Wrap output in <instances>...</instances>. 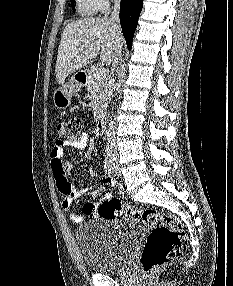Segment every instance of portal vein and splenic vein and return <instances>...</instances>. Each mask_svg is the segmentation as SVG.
Wrapping results in <instances>:
<instances>
[{
  "label": "portal vein and splenic vein",
  "mask_w": 233,
  "mask_h": 286,
  "mask_svg": "<svg viewBox=\"0 0 233 286\" xmlns=\"http://www.w3.org/2000/svg\"><path fill=\"white\" fill-rule=\"evenodd\" d=\"M106 76V69L103 66H97L95 70V77L98 79L104 78Z\"/></svg>",
  "instance_id": "obj_1"
}]
</instances>
